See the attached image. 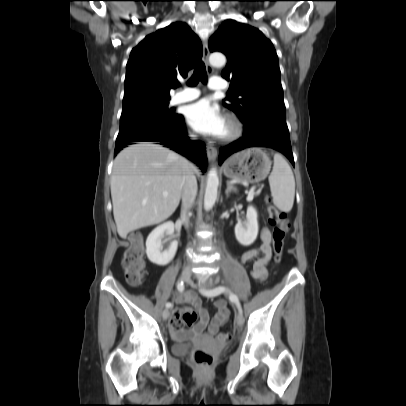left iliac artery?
Instances as JSON below:
<instances>
[{
  "instance_id": "left-iliac-artery-1",
  "label": "left iliac artery",
  "mask_w": 406,
  "mask_h": 406,
  "mask_svg": "<svg viewBox=\"0 0 406 406\" xmlns=\"http://www.w3.org/2000/svg\"><path fill=\"white\" fill-rule=\"evenodd\" d=\"M224 292L229 293V299L232 302H234L237 305V307L239 308V310L241 311V305H240L238 297L234 293H232L227 287L218 286L212 290H201V293L208 297L217 296Z\"/></svg>"
}]
</instances>
